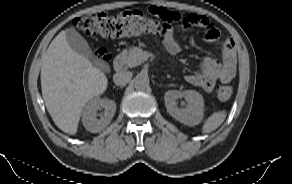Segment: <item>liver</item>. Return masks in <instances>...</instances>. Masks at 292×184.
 Masks as SVG:
<instances>
[{
    "mask_svg": "<svg viewBox=\"0 0 292 184\" xmlns=\"http://www.w3.org/2000/svg\"><path fill=\"white\" fill-rule=\"evenodd\" d=\"M40 79L47 111L58 128L70 135L77 132L85 104L108 85L106 75L69 46L65 31L50 43Z\"/></svg>",
    "mask_w": 292,
    "mask_h": 184,
    "instance_id": "1",
    "label": "liver"
}]
</instances>
